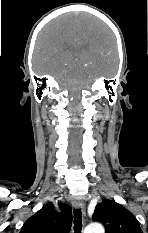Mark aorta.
<instances>
[{"mask_svg":"<svg viewBox=\"0 0 148 233\" xmlns=\"http://www.w3.org/2000/svg\"><path fill=\"white\" fill-rule=\"evenodd\" d=\"M84 233H105V230L100 223H91L86 226Z\"/></svg>","mask_w":148,"mask_h":233,"instance_id":"aorta-1","label":"aorta"}]
</instances>
